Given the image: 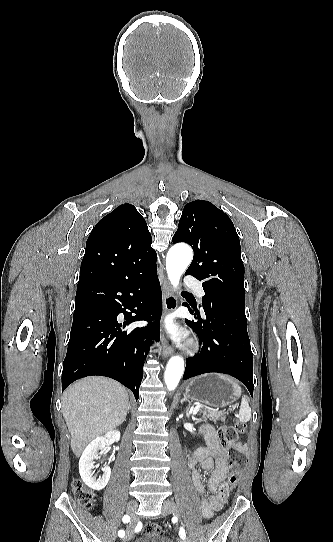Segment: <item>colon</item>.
<instances>
[{
    "instance_id": "5ec220e1",
    "label": "colon",
    "mask_w": 333,
    "mask_h": 542,
    "mask_svg": "<svg viewBox=\"0 0 333 542\" xmlns=\"http://www.w3.org/2000/svg\"><path fill=\"white\" fill-rule=\"evenodd\" d=\"M245 425L242 422L223 423L220 428L216 429V438L219 439L221 446H226L233 442H236L238 438L244 434ZM229 457V465L231 468L228 484L224 485L220 494L227 496L229 491L235 487L241 476L242 467L244 464L245 453L243 449H232ZM73 491L76 501L84 507L91 508L94 505V495L92 492L85 489L83 484L79 481L73 482ZM143 535L146 537L156 538L162 535V528L159 524L149 522L144 526Z\"/></svg>"
}]
</instances>
